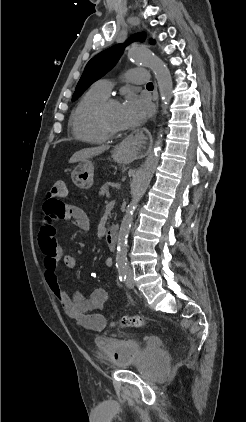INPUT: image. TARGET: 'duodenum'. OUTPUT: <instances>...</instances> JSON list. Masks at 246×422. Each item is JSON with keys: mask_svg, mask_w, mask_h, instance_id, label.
<instances>
[{"mask_svg": "<svg viewBox=\"0 0 246 422\" xmlns=\"http://www.w3.org/2000/svg\"><path fill=\"white\" fill-rule=\"evenodd\" d=\"M118 231L115 227H110L105 235V241L111 251H116Z\"/></svg>", "mask_w": 246, "mask_h": 422, "instance_id": "410a0bca", "label": "duodenum"}]
</instances>
